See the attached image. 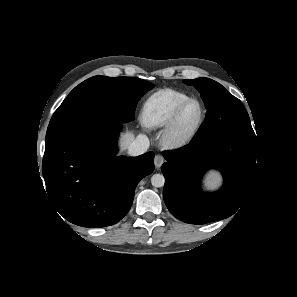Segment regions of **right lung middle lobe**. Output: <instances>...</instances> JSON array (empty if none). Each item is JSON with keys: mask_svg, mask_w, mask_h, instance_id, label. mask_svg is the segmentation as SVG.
I'll return each mask as SVG.
<instances>
[{"mask_svg": "<svg viewBox=\"0 0 297 297\" xmlns=\"http://www.w3.org/2000/svg\"><path fill=\"white\" fill-rule=\"evenodd\" d=\"M154 84L137 77L94 76L76 86L53 114L45 147L89 127L132 121L139 99Z\"/></svg>", "mask_w": 297, "mask_h": 297, "instance_id": "right-lung-middle-lobe-1", "label": "right lung middle lobe"}]
</instances>
